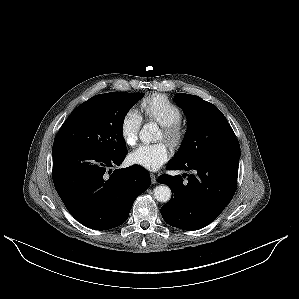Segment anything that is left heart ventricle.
Returning a JSON list of instances; mask_svg holds the SVG:
<instances>
[{
	"label": "left heart ventricle",
	"mask_w": 299,
	"mask_h": 299,
	"mask_svg": "<svg viewBox=\"0 0 299 299\" xmlns=\"http://www.w3.org/2000/svg\"><path fill=\"white\" fill-rule=\"evenodd\" d=\"M161 137H164L163 130H162V133H161Z\"/></svg>",
	"instance_id": "left-heart-ventricle-1"
}]
</instances>
